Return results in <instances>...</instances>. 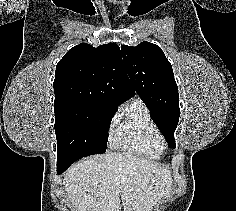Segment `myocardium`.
Here are the masks:
<instances>
[{
	"label": "myocardium",
	"instance_id": "1",
	"mask_svg": "<svg viewBox=\"0 0 236 211\" xmlns=\"http://www.w3.org/2000/svg\"><path fill=\"white\" fill-rule=\"evenodd\" d=\"M161 147H162V150H164L165 149V144L161 143Z\"/></svg>",
	"mask_w": 236,
	"mask_h": 211
}]
</instances>
